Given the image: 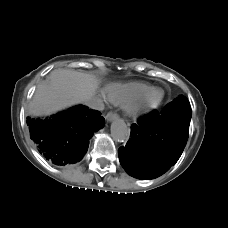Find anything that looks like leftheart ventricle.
<instances>
[{
    "label": "left heart ventricle",
    "mask_w": 228,
    "mask_h": 228,
    "mask_svg": "<svg viewBox=\"0 0 228 228\" xmlns=\"http://www.w3.org/2000/svg\"><path fill=\"white\" fill-rule=\"evenodd\" d=\"M159 98V92H153L148 95L145 99V102L148 104L154 103Z\"/></svg>",
    "instance_id": "1"
}]
</instances>
